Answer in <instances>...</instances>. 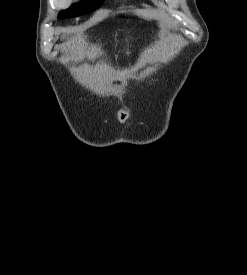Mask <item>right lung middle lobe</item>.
I'll use <instances>...</instances> for the list:
<instances>
[{
	"label": "right lung middle lobe",
	"instance_id": "right-lung-middle-lobe-1",
	"mask_svg": "<svg viewBox=\"0 0 247 275\" xmlns=\"http://www.w3.org/2000/svg\"><path fill=\"white\" fill-rule=\"evenodd\" d=\"M101 3L102 0H82L80 3L74 4L70 9L62 11L59 17H76L85 14L99 7Z\"/></svg>",
	"mask_w": 247,
	"mask_h": 275
}]
</instances>
